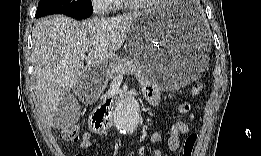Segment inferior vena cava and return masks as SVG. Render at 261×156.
<instances>
[{"mask_svg": "<svg viewBox=\"0 0 261 156\" xmlns=\"http://www.w3.org/2000/svg\"><path fill=\"white\" fill-rule=\"evenodd\" d=\"M95 12L99 15H104L105 13H107V8L96 5Z\"/></svg>", "mask_w": 261, "mask_h": 156, "instance_id": "1", "label": "inferior vena cava"}]
</instances>
